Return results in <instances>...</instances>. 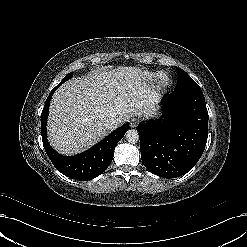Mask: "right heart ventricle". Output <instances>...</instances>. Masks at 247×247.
I'll list each match as a JSON object with an SVG mask.
<instances>
[{"instance_id":"e07e8e85","label":"right heart ventricle","mask_w":247,"mask_h":247,"mask_svg":"<svg viewBox=\"0 0 247 247\" xmlns=\"http://www.w3.org/2000/svg\"><path fill=\"white\" fill-rule=\"evenodd\" d=\"M158 76V73L156 72H146L145 73V78L149 81L153 80L154 78H156Z\"/></svg>"}]
</instances>
